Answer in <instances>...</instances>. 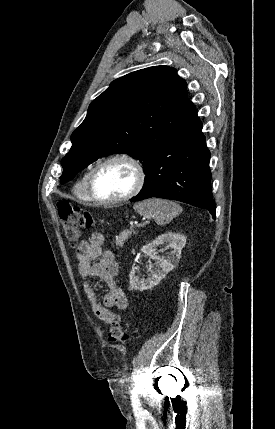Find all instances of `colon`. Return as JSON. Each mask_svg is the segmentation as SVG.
I'll use <instances>...</instances> for the list:
<instances>
[{"instance_id":"obj_1","label":"colon","mask_w":275,"mask_h":429,"mask_svg":"<svg viewBox=\"0 0 275 429\" xmlns=\"http://www.w3.org/2000/svg\"><path fill=\"white\" fill-rule=\"evenodd\" d=\"M57 214L71 247L78 246L82 229H90L94 225L93 217L87 210L74 206L68 201L57 203ZM107 338L112 344H123L128 340L129 335L124 326L118 320H114L110 325Z\"/></svg>"}]
</instances>
